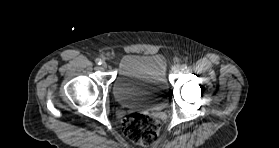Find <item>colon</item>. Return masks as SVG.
<instances>
[{
    "instance_id": "colon-1",
    "label": "colon",
    "mask_w": 279,
    "mask_h": 148,
    "mask_svg": "<svg viewBox=\"0 0 279 148\" xmlns=\"http://www.w3.org/2000/svg\"><path fill=\"white\" fill-rule=\"evenodd\" d=\"M122 130L132 142L141 146H150L160 138L159 121L147 114L130 113L122 120Z\"/></svg>"
}]
</instances>
